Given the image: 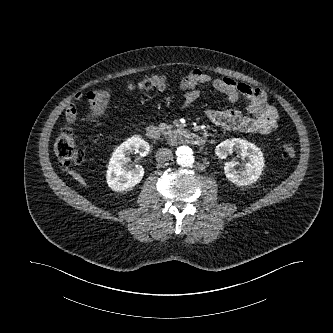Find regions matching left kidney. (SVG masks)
I'll return each instance as SVG.
<instances>
[{"instance_id":"left-kidney-1","label":"left kidney","mask_w":333,"mask_h":333,"mask_svg":"<svg viewBox=\"0 0 333 333\" xmlns=\"http://www.w3.org/2000/svg\"><path fill=\"white\" fill-rule=\"evenodd\" d=\"M236 147L241 157H248L244 170H237L235 162L225 163L224 172L228 180L236 185L245 186L255 182L262 173L264 157L260 148L241 138L227 139L215 148L216 155L221 159H227L228 155Z\"/></svg>"}]
</instances>
